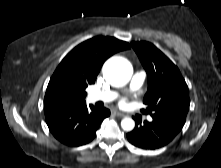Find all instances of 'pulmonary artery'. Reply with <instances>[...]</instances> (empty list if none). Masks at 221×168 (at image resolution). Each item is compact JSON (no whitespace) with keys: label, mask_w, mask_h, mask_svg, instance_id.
I'll return each mask as SVG.
<instances>
[{"label":"pulmonary artery","mask_w":221,"mask_h":168,"mask_svg":"<svg viewBox=\"0 0 221 168\" xmlns=\"http://www.w3.org/2000/svg\"><path fill=\"white\" fill-rule=\"evenodd\" d=\"M146 74L143 71H137L132 77L130 87L132 90H136L143 84L145 80ZM118 94L115 91H93L89 95V100L91 102L103 101V102H111L116 99ZM147 119L152 121V117L148 116Z\"/></svg>","instance_id":"obj_1"}]
</instances>
